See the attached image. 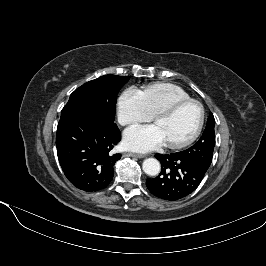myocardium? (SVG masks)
<instances>
[{"label": "myocardium", "mask_w": 266, "mask_h": 266, "mask_svg": "<svg viewBox=\"0 0 266 266\" xmlns=\"http://www.w3.org/2000/svg\"><path fill=\"white\" fill-rule=\"evenodd\" d=\"M190 103L196 104L200 109V118H199L198 125H197L196 129L194 130V132L188 138H186L182 141H178V142L166 143V145L169 148L180 149V148H183V147L190 145L191 143H193L197 139V137L200 135V133L202 131V128H203V125L205 122V108L200 101H198L196 99L188 98V99L176 101V102L170 104L169 106L159 110L158 112H156L153 115V120H154V122H156L158 119H160L162 117H167V116L172 115L178 109H180L181 107H183L187 104H190Z\"/></svg>", "instance_id": "1"}]
</instances>
